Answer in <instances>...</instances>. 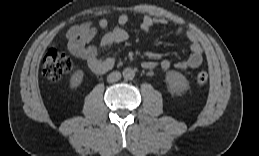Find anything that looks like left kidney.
<instances>
[{
  "label": "left kidney",
  "instance_id": "obj_1",
  "mask_svg": "<svg viewBox=\"0 0 259 156\" xmlns=\"http://www.w3.org/2000/svg\"><path fill=\"white\" fill-rule=\"evenodd\" d=\"M165 82L168 85L169 92L177 95L187 90L189 86L186 77L176 71H169L166 75Z\"/></svg>",
  "mask_w": 259,
  "mask_h": 156
}]
</instances>
